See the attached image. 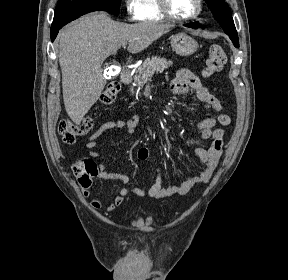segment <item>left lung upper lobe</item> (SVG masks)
<instances>
[{
  "instance_id": "1",
  "label": "left lung upper lobe",
  "mask_w": 288,
  "mask_h": 280,
  "mask_svg": "<svg viewBox=\"0 0 288 280\" xmlns=\"http://www.w3.org/2000/svg\"><path fill=\"white\" fill-rule=\"evenodd\" d=\"M214 18L219 22L224 32L232 40L235 47H239V40L230 8L225 0H205Z\"/></svg>"
}]
</instances>
